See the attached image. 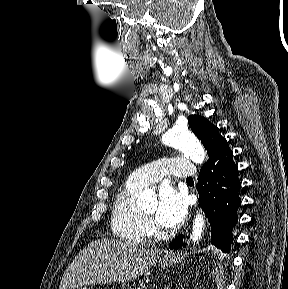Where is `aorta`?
<instances>
[{"label": "aorta", "mask_w": 288, "mask_h": 289, "mask_svg": "<svg viewBox=\"0 0 288 289\" xmlns=\"http://www.w3.org/2000/svg\"><path fill=\"white\" fill-rule=\"evenodd\" d=\"M163 142L183 152L194 163H202L205 159V151L200 142L188 131L185 126H175L165 133ZM139 207L155 208L156 200L149 191H143L137 201ZM204 214L198 212L194 218L191 240L197 242L200 240L204 229Z\"/></svg>", "instance_id": "aorta-1"}]
</instances>
